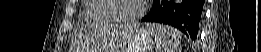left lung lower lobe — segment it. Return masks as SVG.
Masks as SVG:
<instances>
[{"label":"left lung lower lobe","mask_w":261,"mask_h":52,"mask_svg":"<svg viewBox=\"0 0 261 52\" xmlns=\"http://www.w3.org/2000/svg\"><path fill=\"white\" fill-rule=\"evenodd\" d=\"M204 0H155L151 11L141 22H158L173 26L196 40L201 25Z\"/></svg>","instance_id":"left-lung-lower-lobe-1"}]
</instances>
